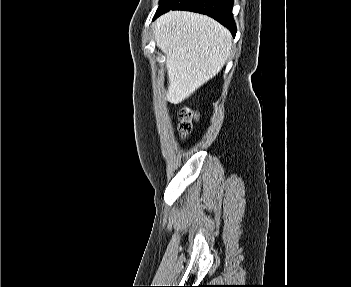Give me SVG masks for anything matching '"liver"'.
<instances>
[{"label":"liver","mask_w":351,"mask_h":287,"mask_svg":"<svg viewBox=\"0 0 351 287\" xmlns=\"http://www.w3.org/2000/svg\"><path fill=\"white\" fill-rule=\"evenodd\" d=\"M156 45L166 56V100L178 104L215 77L232 47V35L214 19L170 11L154 24Z\"/></svg>","instance_id":"liver-1"}]
</instances>
